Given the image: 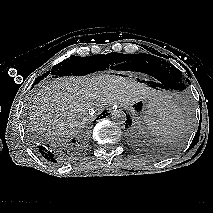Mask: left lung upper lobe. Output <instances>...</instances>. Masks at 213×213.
<instances>
[{"instance_id":"obj_1","label":"left lung upper lobe","mask_w":213,"mask_h":213,"mask_svg":"<svg viewBox=\"0 0 213 213\" xmlns=\"http://www.w3.org/2000/svg\"><path fill=\"white\" fill-rule=\"evenodd\" d=\"M135 61L136 67L143 73L155 78H165L173 84L175 90H184L185 84L182 81V73L175 66L156 55L138 54Z\"/></svg>"}]
</instances>
